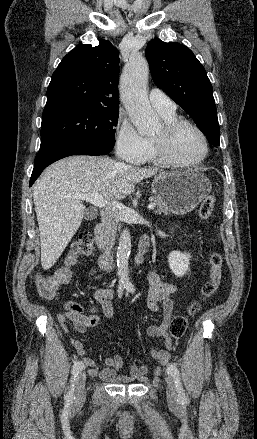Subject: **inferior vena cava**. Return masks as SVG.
I'll return each instance as SVG.
<instances>
[{"mask_svg":"<svg viewBox=\"0 0 257 439\" xmlns=\"http://www.w3.org/2000/svg\"><path fill=\"white\" fill-rule=\"evenodd\" d=\"M101 220L104 226V237L106 242L105 257L110 263L113 262L112 249L117 232V219L112 212L105 210L101 212Z\"/></svg>","mask_w":257,"mask_h":439,"instance_id":"obj_1","label":"inferior vena cava"}]
</instances>
